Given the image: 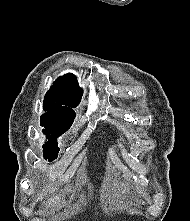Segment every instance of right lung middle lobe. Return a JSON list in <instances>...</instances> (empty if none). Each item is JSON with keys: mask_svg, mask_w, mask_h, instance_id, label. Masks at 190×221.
<instances>
[{"mask_svg": "<svg viewBox=\"0 0 190 221\" xmlns=\"http://www.w3.org/2000/svg\"><path fill=\"white\" fill-rule=\"evenodd\" d=\"M71 123L54 121V120H41V126H44L43 133L47 136L48 141L43 145V157L48 159L49 162L56 159L58 156L59 148L57 143V138L66 132Z\"/></svg>", "mask_w": 190, "mask_h": 221, "instance_id": "1", "label": "right lung middle lobe"}]
</instances>
